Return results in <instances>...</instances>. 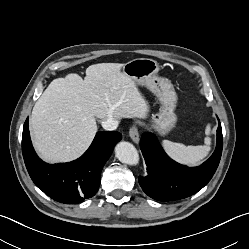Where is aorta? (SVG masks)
<instances>
[{"instance_id": "1", "label": "aorta", "mask_w": 249, "mask_h": 249, "mask_svg": "<svg viewBox=\"0 0 249 249\" xmlns=\"http://www.w3.org/2000/svg\"><path fill=\"white\" fill-rule=\"evenodd\" d=\"M115 155L120 162L128 165H136L139 162L138 151L129 142H119L115 146Z\"/></svg>"}]
</instances>
